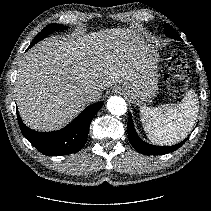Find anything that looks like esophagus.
<instances>
[{
	"label": "esophagus",
	"mask_w": 211,
	"mask_h": 211,
	"mask_svg": "<svg viewBox=\"0 0 211 211\" xmlns=\"http://www.w3.org/2000/svg\"><path fill=\"white\" fill-rule=\"evenodd\" d=\"M114 91H115L116 93H119V92L122 91V89H121L119 86H117V87H115Z\"/></svg>",
	"instance_id": "esophagus-1"
}]
</instances>
